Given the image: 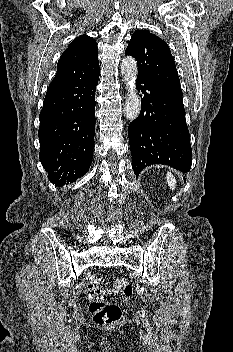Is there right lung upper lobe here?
I'll list each match as a JSON object with an SVG mask.
<instances>
[{
  "mask_svg": "<svg viewBox=\"0 0 233 352\" xmlns=\"http://www.w3.org/2000/svg\"><path fill=\"white\" fill-rule=\"evenodd\" d=\"M98 49L95 40L87 35L74 39L61 55L57 73L49 87L62 86L99 70Z\"/></svg>",
  "mask_w": 233,
  "mask_h": 352,
  "instance_id": "right-lung-upper-lobe-1",
  "label": "right lung upper lobe"
}]
</instances>
